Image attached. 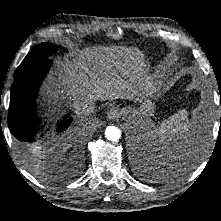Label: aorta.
<instances>
[{"mask_svg": "<svg viewBox=\"0 0 221 221\" xmlns=\"http://www.w3.org/2000/svg\"><path fill=\"white\" fill-rule=\"evenodd\" d=\"M142 136L144 139L141 142L142 146H146V144H148V138L145 136V134H142ZM105 137L109 141L116 142L121 138V130L116 126H108L106 127V130H105Z\"/></svg>", "mask_w": 221, "mask_h": 221, "instance_id": "762f6f07", "label": "aorta"}]
</instances>
